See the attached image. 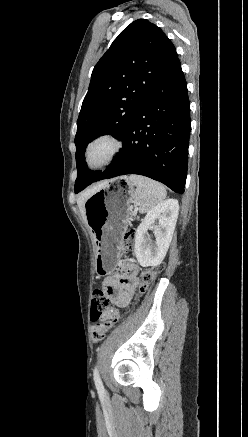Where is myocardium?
<instances>
[{
  "mask_svg": "<svg viewBox=\"0 0 248 437\" xmlns=\"http://www.w3.org/2000/svg\"><path fill=\"white\" fill-rule=\"evenodd\" d=\"M101 143L108 144L109 149L102 158L93 160L91 156L93 149ZM122 148V141L113 133L103 132L93 136L86 144L84 150L83 161L86 169L89 171H97L108 166L118 156Z\"/></svg>",
  "mask_w": 248,
  "mask_h": 437,
  "instance_id": "obj_1",
  "label": "myocardium"
}]
</instances>
